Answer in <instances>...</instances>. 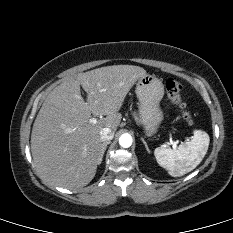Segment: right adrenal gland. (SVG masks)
Masks as SVG:
<instances>
[{
  "mask_svg": "<svg viewBox=\"0 0 233 233\" xmlns=\"http://www.w3.org/2000/svg\"><path fill=\"white\" fill-rule=\"evenodd\" d=\"M110 144V142H104L102 145V149H101V154H100V158H99V164L102 162L103 159V155L106 151L107 145Z\"/></svg>",
  "mask_w": 233,
  "mask_h": 233,
  "instance_id": "2a0ac1e0",
  "label": "right adrenal gland"
}]
</instances>
